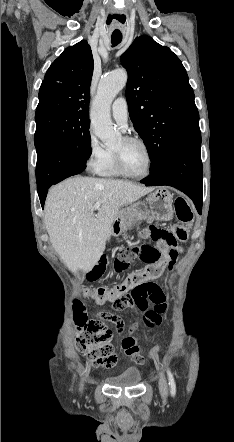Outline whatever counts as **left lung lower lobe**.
Wrapping results in <instances>:
<instances>
[{"label": "left lung lower lobe", "instance_id": "obj_1", "mask_svg": "<svg viewBox=\"0 0 234 442\" xmlns=\"http://www.w3.org/2000/svg\"><path fill=\"white\" fill-rule=\"evenodd\" d=\"M200 129L193 130L170 149L165 162L141 182L147 186L169 185L188 195L202 209V162Z\"/></svg>", "mask_w": 234, "mask_h": 442}]
</instances>
